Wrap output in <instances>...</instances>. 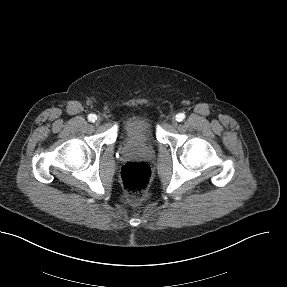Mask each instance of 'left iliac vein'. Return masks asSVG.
Masks as SVG:
<instances>
[{
	"instance_id": "left-iliac-vein-1",
	"label": "left iliac vein",
	"mask_w": 287,
	"mask_h": 287,
	"mask_svg": "<svg viewBox=\"0 0 287 287\" xmlns=\"http://www.w3.org/2000/svg\"><path fill=\"white\" fill-rule=\"evenodd\" d=\"M171 124L174 126V127H176L177 126V120H176V118L175 117H173L172 118V120H171Z\"/></svg>"
}]
</instances>
